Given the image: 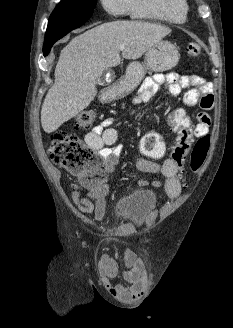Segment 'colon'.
I'll return each mask as SVG.
<instances>
[{"label":"colon","mask_w":233,"mask_h":328,"mask_svg":"<svg viewBox=\"0 0 233 328\" xmlns=\"http://www.w3.org/2000/svg\"><path fill=\"white\" fill-rule=\"evenodd\" d=\"M187 53L192 57L199 56L201 54L200 45L190 43L187 46ZM94 118L95 114L92 110L81 111L75 117L76 129H89ZM167 122L176 135L174 144L167 147L161 135L151 131L146 133L140 141L141 153L151 159H159L168 154L180 169L188 162L194 172L198 171L206 160L210 137L208 135L200 137L191 146L194 126L182 109L172 110L167 116ZM48 153L53 163L77 176L84 185L91 186L104 179V168L96 153L73 132H53L50 136Z\"/></svg>","instance_id":"1"}]
</instances>
